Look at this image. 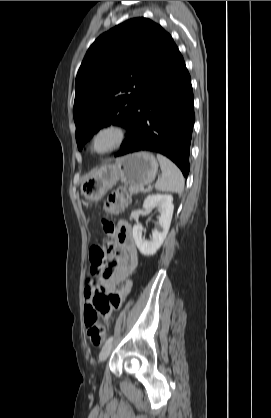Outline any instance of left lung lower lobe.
Instances as JSON below:
<instances>
[{
    "instance_id": "left-lung-lower-lobe-1",
    "label": "left lung lower lobe",
    "mask_w": 271,
    "mask_h": 418,
    "mask_svg": "<svg viewBox=\"0 0 271 418\" xmlns=\"http://www.w3.org/2000/svg\"><path fill=\"white\" fill-rule=\"evenodd\" d=\"M195 121L191 78L172 42L168 53L141 93L126 128L128 137L115 156L147 150L170 158L186 177Z\"/></svg>"
}]
</instances>
